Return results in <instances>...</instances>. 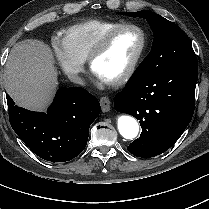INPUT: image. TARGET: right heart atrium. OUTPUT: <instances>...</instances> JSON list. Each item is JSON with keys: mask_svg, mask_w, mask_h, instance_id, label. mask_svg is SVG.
<instances>
[{"mask_svg": "<svg viewBox=\"0 0 209 209\" xmlns=\"http://www.w3.org/2000/svg\"><path fill=\"white\" fill-rule=\"evenodd\" d=\"M52 47L55 58L62 71L72 79H78L83 70V61L76 58L65 41L57 36L52 38Z\"/></svg>", "mask_w": 209, "mask_h": 209, "instance_id": "1", "label": "right heart atrium"}]
</instances>
